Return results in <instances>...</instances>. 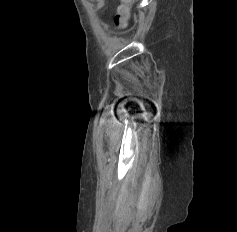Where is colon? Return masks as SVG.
I'll return each instance as SVG.
<instances>
[{
    "label": "colon",
    "instance_id": "1",
    "mask_svg": "<svg viewBox=\"0 0 237 232\" xmlns=\"http://www.w3.org/2000/svg\"><path fill=\"white\" fill-rule=\"evenodd\" d=\"M135 1L136 0H121V5L119 6L115 16V22L117 26L124 27L127 24L130 6Z\"/></svg>",
    "mask_w": 237,
    "mask_h": 232
}]
</instances>
